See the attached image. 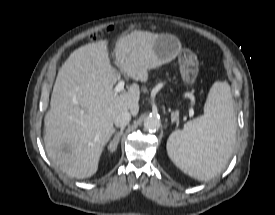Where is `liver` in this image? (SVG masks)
I'll return each mask as SVG.
<instances>
[{
    "label": "liver",
    "mask_w": 275,
    "mask_h": 215,
    "mask_svg": "<svg viewBox=\"0 0 275 215\" xmlns=\"http://www.w3.org/2000/svg\"><path fill=\"white\" fill-rule=\"evenodd\" d=\"M159 35L133 31L119 38L114 56L121 72L145 82L149 70L171 61L160 59L153 49ZM107 45V40L98 41L70 54L58 72L44 119L48 157L62 172L78 179L96 173L103 148L115 132L116 115L129 110L136 116L139 111L137 84L119 94L114 91L119 76Z\"/></svg>",
    "instance_id": "1"
}]
</instances>
